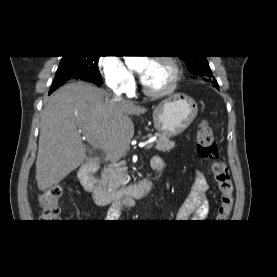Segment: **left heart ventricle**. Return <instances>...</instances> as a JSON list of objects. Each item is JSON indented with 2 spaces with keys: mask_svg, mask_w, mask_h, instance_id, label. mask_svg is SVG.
Listing matches in <instances>:
<instances>
[{
  "mask_svg": "<svg viewBox=\"0 0 277 277\" xmlns=\"http://www.w3.org/2000/svg\"><path fill=\"white\" fill-rule=\"evenodd\" d=\"M140 70L147 71L146 87L154 90L166 87L171 78V71L167 65L162 62H143L139 66Z\"/></svg>",
  "mask_w": 277,
  "mask_h": 277,
  "instance_id": "1",
  "label": "left heart ventricle"
}]
</instances>
